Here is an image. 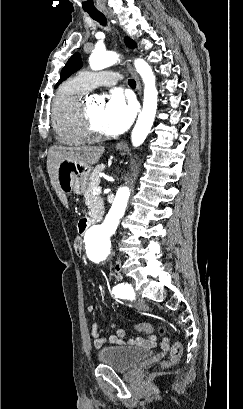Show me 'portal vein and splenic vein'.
Returning a JSON list of instances; mask_svg holds the SVG:
<instances>
[{"instance_id": "18ae733b", "label": "portal vein and splenic vein", "mask_w": 243, "mask_h": 409, "mask_svg": "<svg viewBox=\"0 0 243 409\" xmlns=\"http://www.w3.org/2000/svg\"><path fill=\"white\" fill-rule=\"evenodd\" d=\"M101 192H102V188H101V187H95V188L93 189V195L101 194Z\"/></svg>"}]
</instances>
